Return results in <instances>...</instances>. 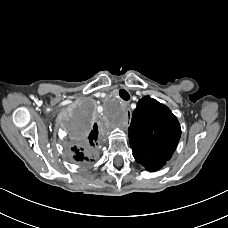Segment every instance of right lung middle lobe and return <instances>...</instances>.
<instances>
[{"mask_svg": "<svg viewBox=\"0 0 228 228\" xmlns=\"http://www.w3.org/2000/svg\"><path fill=\"white\" fill-rule=\"evenodd\" d=\"M80 118V127L78 129L72 130V138L78 142H81V140L85 139V136L87 135L88 131L91 129L93 123H94V118L92 113L87 112L86 110H81L79 113ZM96 123L94 124V129H95Z\"/></svg>", "mask_w": 228, "mask_h": 228, "instance_id": "right-lung-middle-lobe-1", "label": "right lung middle lobe"}]
</instances>
